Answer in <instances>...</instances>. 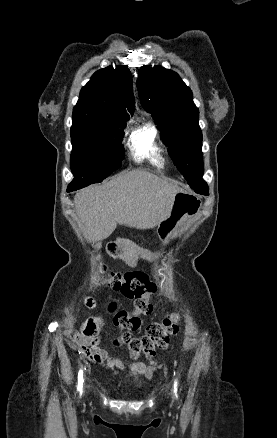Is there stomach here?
I'll use <instances>...</instances> for the list:
<instances>
[{"label": "stomach", "mask_w": 277, "mask_h": 438, "mask_svg": "<svg viewBox=\"0 0 277 438\" xmlns=\"http://www.w3.org/2000/svg\"><path fill=\"white\" fill-rule=\"evenodd\" d=\"M201 207L202 202L197 196L184 190L176 193L173 197L169 214L158 226L160 239L167 244L170 239L175 237L178 226L189 218L197 215ZM143 258L152 261L154 255L145 253Z\"/></svg>", "instance_id": "0dacf381"}]
</instances>
